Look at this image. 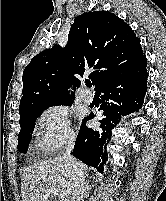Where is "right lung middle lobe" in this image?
I'll return each mask as SVG.
<instances>
[{
  "label": "right lung middle lobe",
  "mask_w": 166,
  "mask_h": 201,
  "mask_svg": "<svg viewBox=\"0 0 166 201\" xmlns=\"http://www.w3.org/2000/svg\"><path fill=\"white\" fill-rule=\"evenodd\" d=\"M70 103L71 102H67L63 105H69ZM45 109L46 108L33 110L20 116L21 130L18 135V151L23 153L27 152L35 125V120Z\"/></svg>",
  "instance_id": "obj_1"
}]
</instances>
